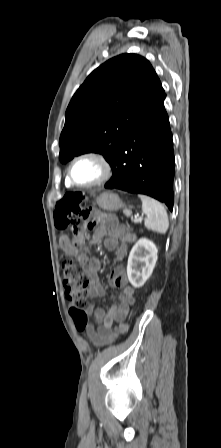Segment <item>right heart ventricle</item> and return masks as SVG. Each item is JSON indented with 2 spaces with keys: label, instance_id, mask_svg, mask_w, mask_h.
<instances>
[{
  "label": "right heart ventricle",
  "instance_id": "1",
  "mask_svg": "<svg viewBox=\"0 0 221 448\" xmlns=\"http://www.w3.org/2000/svg\"><path fill=\"white\" fill-rule=\"evenodd\" d=\"M66 185H67L68 187H70V186H71V184L69 183V181H68V180H66Z\"/></svg>",
  "mask_w": 221,
  "mask_h": 448
}]
</instances>
